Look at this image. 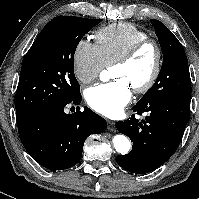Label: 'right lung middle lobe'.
Wrapping results in <instances>:
<instances>
[{
    "label": "right lung middle lobe",
    "mask_w": 199,
    "mask_h": 199,
    "mask_svg": "<svg viewBox=\"0 0 199 199\" xmlns=\"http://www.w3.org/2000/svg\"><path fill=\"white\" fill-rule=\"evenodd\" d=\"M101 21L58 16L45 25L22 63L15 95L17 122L81 96L74 53L82 37Z\"/></svg>",
    "instance_id": "dd1d6c3e"
}]
</instances>
